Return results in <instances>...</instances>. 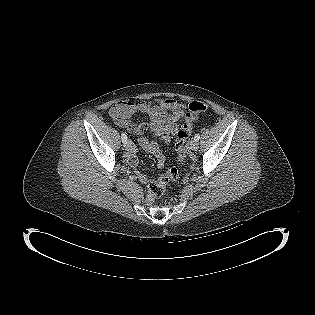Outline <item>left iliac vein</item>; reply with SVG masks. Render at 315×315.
<instances>
[{
  "instance_id": "1",
  "label": "left iliac vein",
  "mask_w": 315,
  "mask_h": 315,
  "mask_svg": "<svg viewBox=\"0 0 315 315\" xmlns=\"http://www.w3.org/2000/svg\"><path fill=\"white\" fill-rule=\"evenodd\" d=\"M198 148H199V143H198V141H196V140L193 139V140L190 142V149L193 150V151H196Z\"/></svg>"
}]
</instances>
